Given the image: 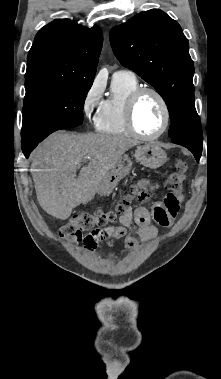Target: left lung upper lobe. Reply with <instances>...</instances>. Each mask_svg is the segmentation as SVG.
Returning a JSON list of instances; mask_svg holds the SVG:
<instances>
[{
    "label": "left lung upper lobe",
    "mask_w": 221,
    "mask_h": 379,
    "mask_svg": "<svg viewBox=\"0 0 221 379\" xmlns=\"http://www.w3.org/2000/svg\"><path fill=\"white\" fill-rule=\"evenodd\" d=\"M110 43L120 63L151 84L165 100L171 140L202 151L201 122L194 101V63L180 25L159 9L144 11L113 27Z\"/></svg>",
    "instance_id": "obj_1"
}]
</instances>
